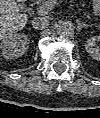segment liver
<instances>
[{
    "label": "liver",
    "mask_w": 100,
    "mask_h": 118,
    "mask_svg": "<svg viewBox=\"0 0 100 118\" xmlns=\"http://www.w3.org/2000/svg\"><path fill=\"white\" fill-rule=\"evenodd\" d=\"M26 0H0V38H4L22 30L27 21L28 15L20 13L16 2Z\"/></svg>",
    "instance_id": "1"
}]
</instances>
